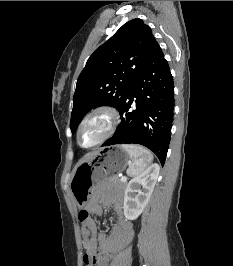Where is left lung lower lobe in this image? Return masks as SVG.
Here are the masks:
<instances>
[{"instance_id": "obj_1", "label": "left lung lower lobe", "mask_w": 233, "mask_h": 266, "mask_svg": "<svg viewBox=\"0 0 233 266\" xmlns=\"http://www.w3.org/2000/svg\"><path fill=\"white\" fill-rule=\"evenodd\" d=\"M173 110V78L158 45L118 109L120 126L102 146L141 144L152 150L164 165L171 138Z\"/></svg>"}]
</instances>
